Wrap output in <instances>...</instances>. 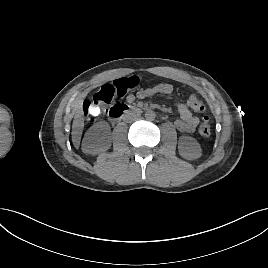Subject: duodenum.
Masks as SVG:
<instances>
[{
  "mask_svg": "<svg viewBox=\"0 0 268 268\" xmlns=\"http://www.w3.org/2000/svg\"><path fill=\"white\" fill-rule=\"evenodd\" d=\"M147 108L142 106H132L128 104H116L108 110V115L113 121H119L128 114H139Z\"/></svg>",
  "mask_w": 268,
  "mask_h": 268,
  "instance_id": "obj_1",
  "label": "duodenum"
}]
</instances>
